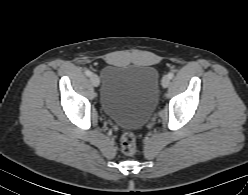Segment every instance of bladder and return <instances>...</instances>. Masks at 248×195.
Here are the masks:
<instances>
[{
  "label": "bladder",
  "mask_w": 248,
  "mask_h": 195,
  "mask_svg": "<svg viewBox=\"0 0 248 195\" xmlns=\"http://www.w3.org/2000/svg\"><path fill=\"white\" fill-rule=\"evenodd\" d=\"M159 95V73L153 66L109 65L102 73L100 104L123 128H139L151 116Z\"/></svg>",
  "instance_id": "obj_1"
}]
</instances>
